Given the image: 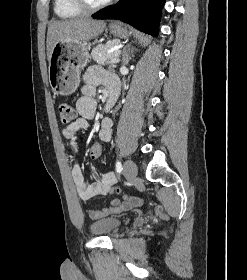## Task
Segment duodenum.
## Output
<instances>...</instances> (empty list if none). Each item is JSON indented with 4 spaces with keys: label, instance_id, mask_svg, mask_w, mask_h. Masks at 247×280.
Wrapping results in <instances>:
<instances>
[{
    "label": "duodenum",
    "instance_id": "duodenum-1",
    "mask_svg": "<svg viewBox=\"0 0 247 280\" xmlns=\"http://www.w3.org/2000/svg\"><path fill=\"white\" fill-rule=\"evenodd\" d=\"M118 97V89L111 88L108 90L107 93V103H106V110H110L113 105L115 104Z\"/></svg>",
    "mask_w": 247,
    "mask_h": 280
}]
</instances>
